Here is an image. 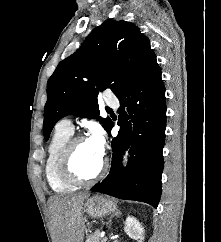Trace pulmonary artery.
I'll use <instances>...</instances> for the list:
<instances>
[{
    "label": "pulmonary artery",
    "instance_id": "1",
    "mask_svg": "<svg viewBox=\"0 0 221 242\" xmlns=\"http://www.w3.org/2000/svg\"><path fill=\"white\" fill-rule=\"evenodd\" d=\"M106 104H108L109 106H117L118 105V101L115 99V98H112V99H107L105 101ZM57 127L60 129V130H63V131H66L68 133H73L74 131V126H73V123L72 121L69 119V118H65V119H62L58 124H57Z\"/></svg>",
    "mask_w": 221,
    "mask_h": 242
}]
</instances>
